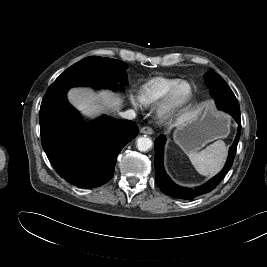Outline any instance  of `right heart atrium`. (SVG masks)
<instances>
[{"mask_svg":"<svg viewBox=\"0 0 267 267\" xmlns=\"http://www.w3.org/2000/svg\"><path fill=\"white\" fill-rule=\"evenodd\" d=\"M130 101H131L132 105L135 107L139 106V104H140L139 99L135 96H130Z\"/></svg>","mask_w":267,"mask_h":267,"instance_id":"1","label":"right heart atrium"}]
</instances>
